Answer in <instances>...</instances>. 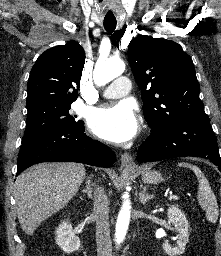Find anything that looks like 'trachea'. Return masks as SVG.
Listing matches in <instances>:
<instances>
[{
	"mask_svg": "<svg viewBox=\"0 0 221 256\" xmlns=\"http://www.w3.org/2000/svg\"><path fill=\"white\" fill-rule=\"evenodd\" d=\"M104 28L109 33L113 32L116 28V21H105Z\"/></svg>",
	"mask_w": 221,
	"mask_h": 256,
	"instance_id": "trachea-1",
	"label": "trachea"
}]
</instances>
